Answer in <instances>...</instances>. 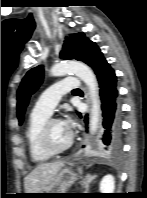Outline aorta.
Instances as JSON below:
<instances>
[{
    "label": "aorta",
    "mask_w": 147,
    "mask_h": 198,
    "mask_svg": "<svg viewBox=\"0 0 147 198\" xmlns=\"http://www.w3.org/2000/svg\"><path fill=\"white\" fill-rule=\"evenodd\" d=\"M50 72L52 76H63L67 73H73L87 85L92 104L89 127L90 132L94 134L98 128L101 107L98 82L93 71L84 63L78 61H66L55 64Z\"/></svg>",
    "instance_id": "obj_1"
}]
</instances>
